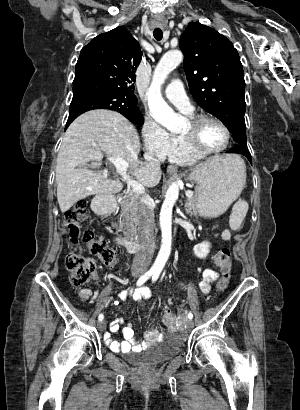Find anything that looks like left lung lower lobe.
<instances>
[{"mask_svg": "<svg viewBox=\"0 0 300 410\" xmlns=\"http://www.w3.org/2000/svg\"><path fill=\"white\" fill-rule=\"evenodd\" d=\"M227 153H238V154H242L244 156H246L248 158V160L250 161V163H252V159H251V155L250 152L248 151L246 146L243 145H237L234 148L230 149L229 151H227Z\"/></svg>", "mask_w": 300, "mask_h": 410, "instance_id": "1", "label": "left lung lower lobe"}]
</instances>
